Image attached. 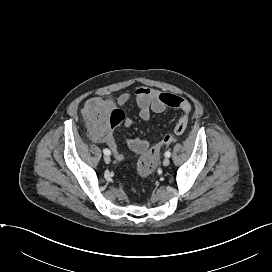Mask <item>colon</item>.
Masks as SVG:
<instances>
[{
  "instance_id": "1",
  "label": "colon",
  "mask_w": 272,
  "mask_h": 272,
  "mask_svg": "<svg viewBox=\"0 0 272 272\" xmlns=\"http://www.w3.org/2000/svg\"><path fill=\"white\" fill-rule=\"evenodd\" d=\"M84 120L93 136H102L110 128L121 124L124 120V113L112 107L111 103L102 98L88 100L82 109ZM188 121H184L181 128H184ZM177 140L175 135H166L156 145L147 150L139 159L137 171L141 177L149 176L156 164L161 151Z\"/></svg>"
}]
</instances>
